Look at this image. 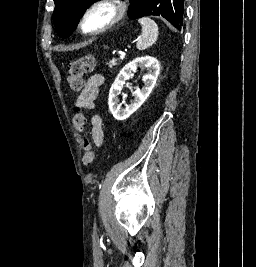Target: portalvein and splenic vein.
I'll list each match as a JSON object with an SVG mask.
<instances>
[{"label": "portal vein and splenic vein", "instance_id": "obj_1", "mask_svg": "<svg viewBox=\"0 0 256 267\" xmlns=\"http://www.w3.org/2000/svg\"><path fill=\"white\" fill-rule=\"evenodd\" d=\"M121 59L122 60H125L126 59V56L122 54Z\"/></svg>", "mask_w": 256, "mask_h": 267}]
</instances>
